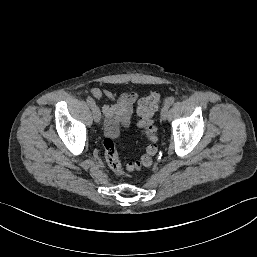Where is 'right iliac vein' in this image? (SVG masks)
Masks as SVG:
<instances>
[{
	"instance_id": "63e3f726",
	"label": "right iliac vein",
	"mask_w": 257,
	"mask_h": 257,
	"mask_svg": "<svg viewBox=\"0 0 257 257\" xmlns=\"http://www.w3.org/2000/svg\"><path fill=\"white\" fill-rule=\"evenodd\" d=\"M92 110H93V118H94V121H95L96 123H99L100 120H101V112H100V109H99L97 106H95Z\"/></svg>"
}]
</instances>
